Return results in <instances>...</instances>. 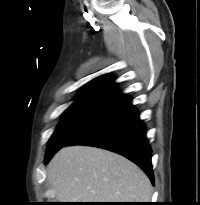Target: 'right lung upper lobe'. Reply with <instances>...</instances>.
<instances>
[{
    "label": "right lung upper lobe",
    "mask_w": 200,
    "mask_h": 205,
    "mask_svg": "<svg viewBox=\"0 0 200 205\" xmlns=\"http://www.w3.org/2000/svg\"><path fill=\"white\" fill-rule=\"evenodd\" d=\"M111 76H100L85 85L78 94L77 100H95L116 102L123 97L114 84Z\"/></svg>",
    "instance_id": "cb5924a9"
}]
</instances>
